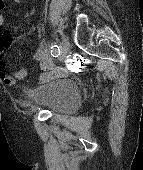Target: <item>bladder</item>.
<instances>
[{"label": "bladder", "instance_id": "1", "mask_svg": "<svg viewBox=\"0 0 143 170\" xmlns=\"http://www.w3.org/2000/svg\"><path fill=\"white\" fill-rule=\"evenodd\" d=\"M21 96L27 106L68 115L73 114L82 101L77 83L67 77L25 86L21 91Z\"/></svg>", "mask_w": 143, "mask_h": 170}]
</instances>
